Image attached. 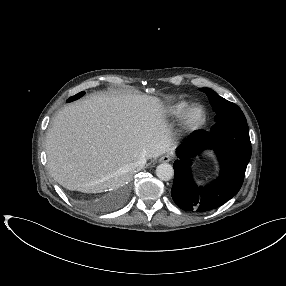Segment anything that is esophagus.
<instances>
[{"mask_svg":"<svg viewBox=\"0 0 286 286\" xmlns=\"http://www.w3.org/2000/svg\"><path fill=\"white\" fill-rule=\"evenodd\" d=\"M172 160V157L171 155L169 154H166V155H163L161 158H160V162H164V163H167V162H170Z\"/></svg>","mask_w":286,"mask_h":286,"instance_id":"esophagus-1","label":"esophagus"}]
</instances>
